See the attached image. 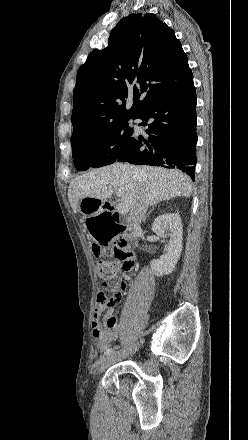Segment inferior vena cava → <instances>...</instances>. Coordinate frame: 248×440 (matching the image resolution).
I'll use <instances>...</instances> for the list:
<instances>
[{"instance_id": "obj_1", "label": "inferior vena cava", "mask_w": 248, "mask_h": 440, "mask_svg": "<svg viewBox=\"0 0 248 440\" xmlns=\"http://www.w3.org/2000/svg\"><path fill=\"white\" fill-rule=\"evenodd\" d=\"M147 208V202L143 197H141L137 202L135 209L130 211L127 220L134 229L140 228V224L144 219Z\"/></svg>"}]
</instances>
